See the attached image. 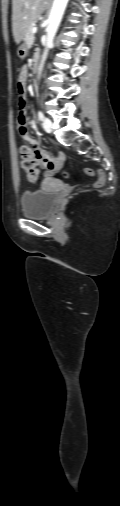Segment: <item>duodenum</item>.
I'll return each instance as SVG.
<instances>
[{
	"label": "duodenum",
	"mask_w": 120,
	"mask_h": 506,
	"mask_svg": "<svg viewBox=\"0 0 120 506\" xmlns=\"http://www.w3.org/2000/svg\"><path fill=\"white\" fill-rule=\"evenodd\" d=\"M39 59H40L39 53H35L34 58H33V63H34L35 68L37 67V65L39 63Z\"/></svg>",
	"instance_id": "duodenum-1"
}]
</instances>
